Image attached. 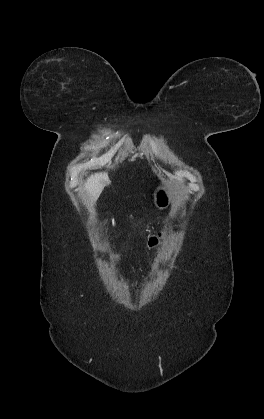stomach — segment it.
Masks as SVG:
<instances>
[{"instance_id": "obj_1", "label": "stomach", "mask_w": 264, "mask_h": 419, "mask_svg": "<svg viewBox=\"0 0 264 419\" xmlns=\"http://www.w3.org/2000/svg\"><path fill=\"white\" fill-rule=\"evenodd\" d=\"M179 191V187L175 185H160L153 193L154 205L160 210L167 209Z\"/></svg>"}]
</instances>
